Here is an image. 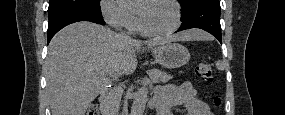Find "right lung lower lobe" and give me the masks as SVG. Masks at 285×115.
I'll use <instances>...</instances> for the list:
<instances>
[{
    "instance_id": "98d812e1",
    "label": "right lung lower lobe",
    "mask_w": 285,
    "mask_h": 115,
    "mask_svg": "<svg viewBox=\"0 0 285 115\" xmlns=\"http://www.w3.org/2000/svg\"><path fill=\"white\" fill-rule=\"evenodd\" d=\"M78 21H91L97 24H105L101 13L84 10H67L49 17L48 43L52 37L63 27Z\"/></svg>"
}]
</instances>
